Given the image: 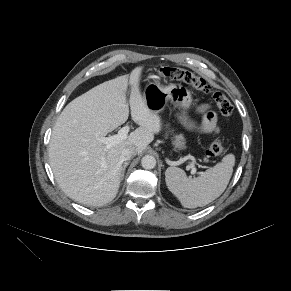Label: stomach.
<instances>
[{
  "instance_id": "0dacf381",
  "label": "stomach",
  "mask_w": 291,
  "mask_h": 291,
  "mask_svg": "<svg viewBox=\"0 0 291 291\" xmlns=\"http://www.w3.org/2000/svg\"><path fill=\"white\" fill-rule=\"evenodd\" d=\"M143 98L148 109L153 113L161 112L167 102L184 111L192 105L191 92L180 84L161 86L158 83H149L143 92Z\"/></svg>"
}]
</instances>
